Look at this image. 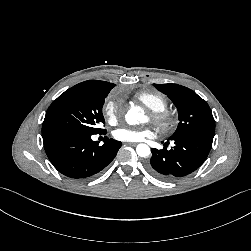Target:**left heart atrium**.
Segmentation results:
<instances>
[{"instance_id":"1","label":"left heart atrium","mask_w":251,"mask_h":251,"mask_svg":"<svg viewBox=\"0 0 251 251\" xmlns=\"http://www.w3.org/2000/svg\"><path fill=\"white\" fill-rule=\"evenodd\" d=\"M153 135L150 128L135 129V128H119L114 132V136L119 141L124 142H140Z\"/></svg>"}]
</instances>
